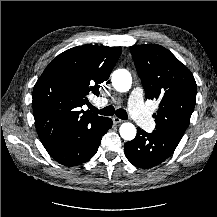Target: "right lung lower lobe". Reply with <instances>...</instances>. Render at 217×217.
I'll list each match as a JSON object with an SVG mask.
<instances>
[{
  "mask_svg": "<svg viewBox=\"0 0 217 217\" xmlns=\"http://www.w3.org/2000/svg\"><path fill=\"white\" fill-rule=\"evenodd\" d=\"M112 127V120L103 119L76 138L46 146L49 155L65 166H76L88 161L98 150L102 136Z\"/></svg>",
  "mask_w": 217,
  "mask_h": 217,
  "instance_id": "1",
  "label": "right lung lower lobe"
}]
</instances>
